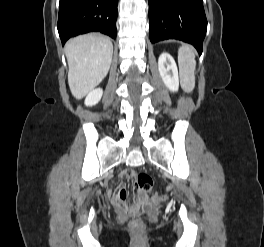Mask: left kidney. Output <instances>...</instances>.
Returning a JSON list of instances; mask_svg holds the SVG:
<instances>
[{
    "mask_svg": "<svg viewBox=\"0 0 264 247\" xmlns=\"http://www.w3.org/2000/svg\"><path fill=\"white\" fill-rule=\"evenodd\" d=\"M160 76L166 87L176 92L179 89L178 69L173 57L168 53H162L158 59Z\"/></svg>",
    "mask_w": 264,
    "mask_h": 247,
    "instance_id": "1",
    "label": "left kidney"
}]
</instances>
